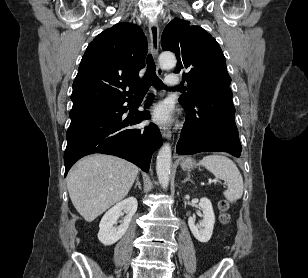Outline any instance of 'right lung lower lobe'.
Here are the masks:
<instances>
[{"label":"right lung lower lobe","instance_id":"1","mask_svg":"<svg viewBox=\"0 0 308 278\" xmlns=\"http://www.w3.org/2000/svg\"><path fill=\"white\" fill-rule=\"evenodd\" d=\"M132 99L106 104L71 117L66 133L65 176L78 159L92 153L115 155L133 162L145 172L149 171L151 154L162 145V138L154 124L144 129L128 128L150 117L143 111L130 119H122L127 112L123 104H130Z\"/></svg>","mask_w":308,"mask_h":278}]
</instances>
